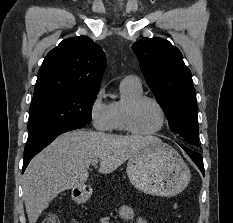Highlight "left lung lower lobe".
<instances>
[{
	"label": "left lung lower lobe",
	"mask_w": 233,
	"mask_h": 223,
	"mask_svg": "<svg viewBox=\"0 0 233 223\" xmlns=\"http://www.w3.org/2000/svg\"><path fill=\"white\" fill-rule=\"evenodd\" d=\"M181 147L186 151V153L189 155V157L195 162V164L198 166L200 171L202 172L204 176V164H203V158L199 153H196L184 146L181 145Z\"/></svg>",
	"instance_id": "0a47b994"
}]
</instances>
